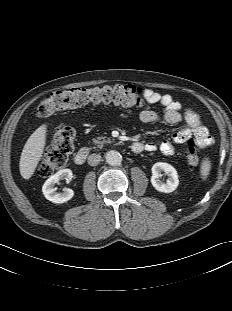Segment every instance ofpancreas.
Segmentation results:
<instances>
[{
	"label": "pancreas",
	"mask_w": 232,
	"mask_h": 311,
	"mask_svg": "<svg viewBox=\"0 0 232 311\" xmlns=\"http://www.w3.org/2000/svg\"><path fill=\"white\" fill-rule=\"evenodd\" d=\"M93 142L99 147L102 148L104 143H110V140H105L104 137H98L97 139H94Z\"/></svg>",
	"instance_id": "obj_1"
}]
</instances>
